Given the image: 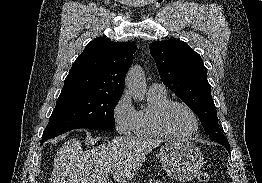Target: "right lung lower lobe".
Wrapping results in <instances>:
<instances>
[{"mask_svg":"<svg viewBox=\"0 0 262 183\" xmlns=\"http://www.w3.org/2000/svg\"><path fill=\"white\" fill-rule=\"evenodd\" d=\"M46 140H48V139H47V138L42 139V140H41V145H42Z\"/></svg>","mask_w":262,"mask_h":183,"instance_id":"obj_1","label":"right lung lower lobe"}]
</instances>
